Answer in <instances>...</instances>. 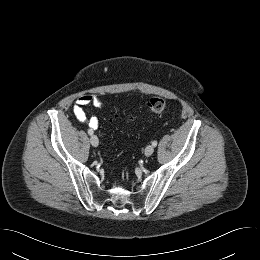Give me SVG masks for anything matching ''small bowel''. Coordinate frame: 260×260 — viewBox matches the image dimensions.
Returning a JSON list of instances; mask_svg holds the SVG:
<instances>
[{
  "label": "small bowel",
  "instance_id": "small-bowel-1",
  "mask_svg": "<svg viewBox=\"0 0 260 260\" xmlns=\"http://www.w3.org/2000/svg\"><path fill=\"white\" fill-rule=\"evenodd\" d=\"M101 107L103 105L101 99L97 95L84 94L81 95L74 103L72 112L75 118L80 122H86L90 129L96 130L99 126L98 119L96 117H88L85 107L87 106Z\"/></svg>",
  "mask_w": 260,
  "mask_h": 260
}]
</instances>
